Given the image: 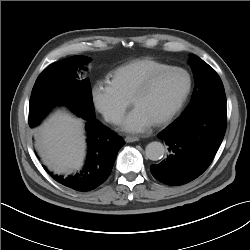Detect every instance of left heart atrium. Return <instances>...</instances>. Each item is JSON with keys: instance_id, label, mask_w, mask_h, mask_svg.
Here are the masks:
<instances>
[{"instance_id": "obj_1", "label": "left heart atrium", "mask_w": 250, "mask_h": 250, "mask_svg": "<svg viewBox=\"0 0 250 250\" xmlns=\"http://www.w3.org/2000/svg\"><path fill=\"white\" fill-rule=\"evenodd\" d=\"M153 125V121L138 107H135L125 118L123 129L131 133L144 132Z\"/></svg>"}]
</instances>
